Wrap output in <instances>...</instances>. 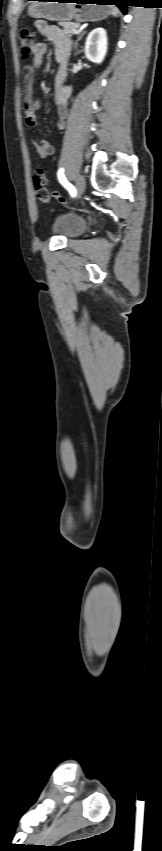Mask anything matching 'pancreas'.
Segmentation results:
<instances>
[{
    "mask_svg": "<svg viewBox=\"0 0 162 851\" xmlns=\"http://www.w3.org/2000/svg\"><path fill=\"white\" fill-rule=\"evenodd\" d=\"M59 25L63 27V31L67 35H72L79 28V24L73 22H59Z\"/></svg>",
    "mask_w": 162,
    "mask_h": 851,
    "instance_id": "1",
    "label": "pancreas"
}]
</instances>
